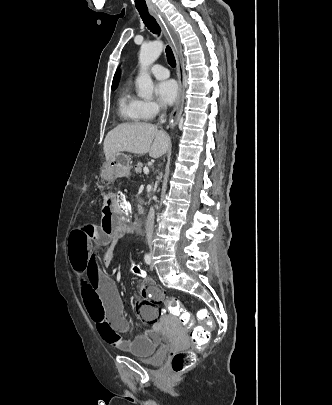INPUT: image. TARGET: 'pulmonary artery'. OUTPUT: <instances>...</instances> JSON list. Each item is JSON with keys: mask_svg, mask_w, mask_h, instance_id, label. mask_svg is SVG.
Wrapping results in <instances>:
<instances>
[{"mask_svg": "<svg viewBox=\"0 0 332 405\" xmlns=\"http://www.w3.org/2000/svg\"><path fill=\"white\" fill-rule=\"evenodd\" d=\"M150 73L158 79H165L169 76L168 69L161 65H154L151 68Z\"/></svg>", "mask_w": 332, "mask_h": 405, "instance_id": "obj_1", "label": "pulmonary artery"}]
</instances>
